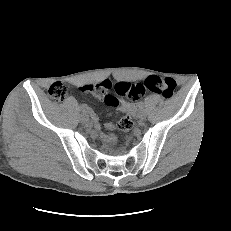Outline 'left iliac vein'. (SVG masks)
<instances>
[{
    "label": "left iliac vein",
    "instance_id": "1",
    "mask_svg": "<svg viewBox=\"0 0 231 231\" xmlns=\"http://www.w3.org/2000/svg\"><path fill=\"white\" fill-rule=\"evenodd\" d=\"M138 118H139L140 120H144V119L146 118V113H145L144 111H140V112L138 113Z\"/></svg>",
    "mask_w": 231,
    "mask_h": 231
}]
</instances>
